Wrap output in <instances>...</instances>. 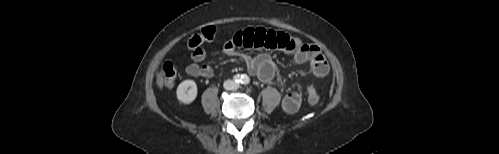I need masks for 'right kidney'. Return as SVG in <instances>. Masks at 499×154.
I'll list each match as a JSON object with an SVG mask.
<instances>
[{
  "label": "right kidney",
  "mask_w": 499,
  "mask_h": 154,
  "mask_svg": "<svg viewBox=\"0 0 499 154\" xmlns=\"http://www.w3.org/2000/svg\"><path fill=\"white\" fill-rule=\"evenodd\" d=\"M177 99L183 104L192 103L197 97V85L193 80H184L176 90Z\"/></svg>",
  "instance_id": "right-kidney-1"
}]
</instances>
